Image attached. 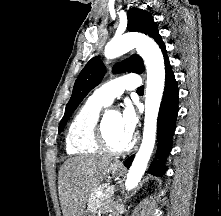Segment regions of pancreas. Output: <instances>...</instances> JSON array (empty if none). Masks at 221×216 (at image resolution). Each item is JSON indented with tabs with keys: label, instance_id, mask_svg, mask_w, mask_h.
I'll return each instance as SVG.
<instances>
[{
	"label": "pancreas",
	"instance_id": "1",
	"mask_svg": "<svg viewBox=\"0 0 221 216\" xmlns=\"http://www.w3.org/2000/svg\"><path fill=\"white\" fill-rule=\"evenodd\" d=\"M106 187L104 185L98 187L95 191H93L88 200L89 210L93 213H97V211H105L109 209V205L111 203V198L114 194V191L106 192ZM97 191L104 192L103 195H97Z\"/></svg>",
	"mask_w": 221,
	"mask_h": 216
}]
</instances>
